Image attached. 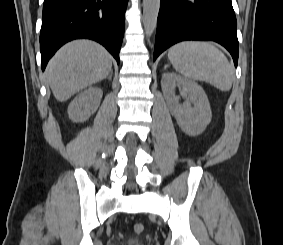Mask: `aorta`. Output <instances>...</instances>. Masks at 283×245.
Listing matches in <instances>:
<instances>
[{"label": "aorta", "instance_id": "762f6f07", "mask_svg": "<svg viewBox=\"0 0 283 245\" xmlns=\"http://www.w3.org/2000/svg\"><path fill=\"white\" fill-rule=\"evenodd\" d=\"M160 0H143V26L147 37H150L157 25Z\"/></svg>", "mask_w": 283, "mask_h": 245}]
</instances>
